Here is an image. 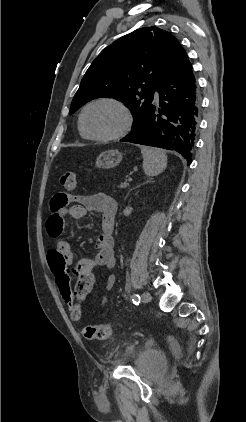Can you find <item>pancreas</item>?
Returning <instances> with one entry per match:
<instances>
[{
	"label": "pancreas",
	"instance_id": "cf45deb5",
	"mask_svg": "<svg viewBox=\"0 0 246 422\" xmlns=\"http://www.w3.org/2000/svg\"><path fill=\"white\" fill-rule=\"evenodd\" d=\"M128 186V184H126V182H124V183H122L119 187L120 188H125V187H127Z\"/></svg>",
	"mask_w": 246,
	"mask_h": 422
}]
</instances>
